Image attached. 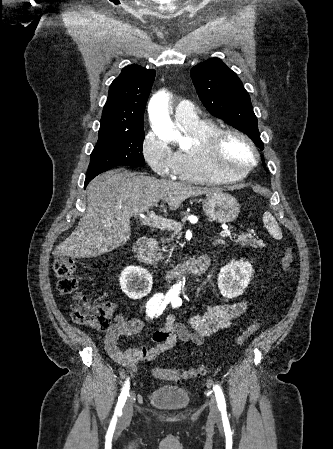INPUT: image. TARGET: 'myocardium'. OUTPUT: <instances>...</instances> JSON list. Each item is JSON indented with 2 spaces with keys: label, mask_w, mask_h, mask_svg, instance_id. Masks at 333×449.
Instances as JSON below:
<instances>
[{
  "label": "myocardium",
  "mask_w": 333,
  "mask_h": 449,
  "mask_svg": "<svg viewBox=\"0 0 333 449\" xmlns=\"http://www.w3.org/2000/svg\"><path fill=\"white\" fill-rule=\"evenodd\" d=\"M231 138L238 139L245 143L251 150L254 157L250 164L246 165L238 172L225 169L220 165L223 146L225 142ZM200 148L209 171L213 175L228 181H238L246 178L258 165L260 160L259 151L251 138L236 129H216L200 143Z\"/></svg>",
  "instance_id": "1"
}]
</instances>
